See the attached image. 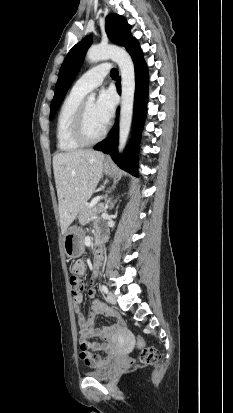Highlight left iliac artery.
Wrapping results in <instances>:
<instances>
[{"label":"left iliac artery","mask_w":233,"mask_h":413,"mask_svg":"<svg viewBox=\"0 0 233 413\" xmlns=\"http://www.w3.org/2000/svg\"><path fill=\"white\" fill-rule=\"evenodd\" d=\"M101 289H102V291H103L104 293H108V288H107V286L102 285V286H101Z\"/></svg>","instance_id":"44dca946"}]
</instances>
